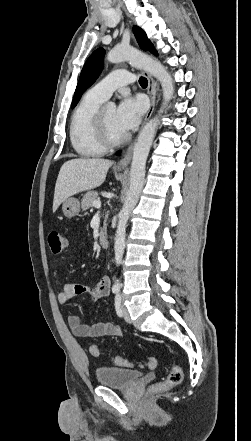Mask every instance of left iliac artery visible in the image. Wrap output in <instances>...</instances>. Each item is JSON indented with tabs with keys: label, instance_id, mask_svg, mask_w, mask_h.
<instances>
[{
	"label": "left iliac artery",
	"instance_id": "left-iliac-artery-1",
	"mask_svg": "<svg viewBox=\"0 0 251 441\" xmlns=\"http://www.w3.org/2000/svg\"><path fill=\"white\" fill-rule=\"evenodd\" d=\"M115 309H116L117 315L119 317H122L123 312H122V309H121V295L120 294H117L115 296Z\"/></svg>",
	"mask_w": 251,
	"mask_h": 441
}]
</instances>
